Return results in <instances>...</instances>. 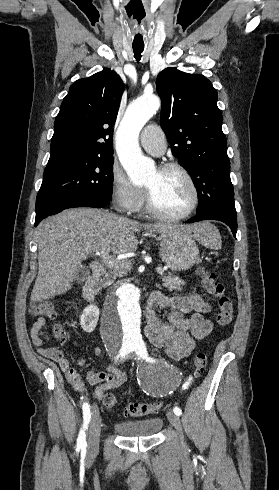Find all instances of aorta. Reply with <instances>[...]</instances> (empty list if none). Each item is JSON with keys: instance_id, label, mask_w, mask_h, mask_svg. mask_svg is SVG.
Masks as SVG:
<instances>
[{"instance_id": "762f6f07", "label": "aorta", "mask_w": 279, "mask_h": 490, "mask_svg": "<svg viewBox=\"0 0 279 490\" xmlns=\"http://www.w3.org/2000/svg\"><path fill=\"white\" fill-rule=\"evenodd\" d=\"M160 99L145 96L130 104L118 127L116 151L130 180L144 183L154 171V163L139 147V133L160 108ZM141 292L133 284H122L109 294L103 310L101 333L108 348L115 354L125 353L143 343L141 332Z\"/></svg>"}]
</instances>
